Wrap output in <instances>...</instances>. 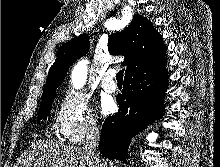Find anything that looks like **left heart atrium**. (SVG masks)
Listing matches in <instances>:
<instances>
[{"mask_svg":"<svg viewBox=\"0 0 220 167\" xmlns=\"http://www.w3.org/2000/svg\"><path fill=\"white\" fill-rule=\"evenodd\" d=\"M101 112L104 115L112 113L115 109L114 100L111 97H104L100 103Z\"/></svg>","mask_w":220,"mask_h":167,"instance_id":"obj_1","label":"left heart atrium"}]
</instances>
